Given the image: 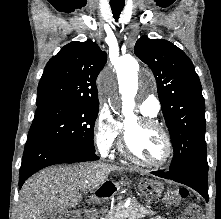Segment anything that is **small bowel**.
Here are the masks:
<instances>
[{
	"label": "small bowel",
	"mask_w": 221,
	"mask_h": 219,
	"mask_svg": "<svg viewBox=\"0 0 221 219\" xmlns=\"http://www.w3.org/2000/svg\"><path fill=\"white\" fill-rule=\"evenodd\" d=\"M150 219H163L161 217H153V218H150Z\"/></svg>",
	"instance_id": "c3829d8e"
}]
</instances>
